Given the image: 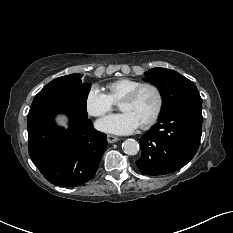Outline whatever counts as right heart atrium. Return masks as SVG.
<instances>
[{"label": "right heart atrium", "instance_id": "1", "mask_svg": "<svg viewBox=\"0 0 233 233\" xmlns=\"http://www.w3.org/2000/svg\"><path fill=\"white\" fill-rule=\"evenodd\" d=\"M114 102L97 85H92L85 98V108L89 115L102 117L113 109Z\"/></svg>", "mask_w": 233, "mask_h": 233}]
</instances>
